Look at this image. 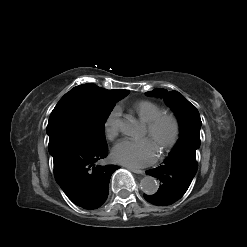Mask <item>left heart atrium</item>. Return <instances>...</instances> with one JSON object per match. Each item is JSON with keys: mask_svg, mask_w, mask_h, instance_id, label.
I'll use <instances>...</instances> for the list:
<instances>
[{"mask_svg": "<svg viewBox=\"0 0 247 247\" xmlns=\"http://www.w3.org/2000/svg\"><path fill=\"white\" fill-rule=\"evenodd\" d=\"M157 157V147L148 138L140 140H123L112 150L115 162L129 167H145L152 164Z\"/></svg>", "mask_w": 247, "mask_h": 247, "instance_id": "obj_1", "label": "left heart atrium"}]
</instances>
